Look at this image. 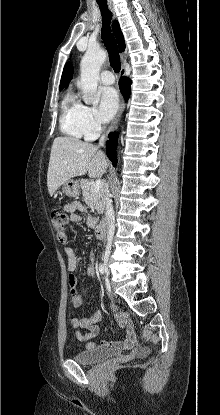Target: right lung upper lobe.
<instances>
[{"instance_id":"right-lung-upper-lobe-1","label":"right lung upper lobe","mask_w":220,"mask_h":415,"mask_svg":"<svg viewBox=\"0 0 220 415\" xmlns=\"http://www.w3.org/2000/svg\"><path fill=\"white\" fill-rule=\"evenodd\" d=\"M112 29H113V32L115 34V37H116V40L119 46V51L122 52L125 50V43H124L123 34L121 32L119 23L117 21L113 22ZM72 76H73L72 64L66 63L63 73H62V77H61L60 90L64 88L71 81Z\"/></svg>"}]
</instances>
